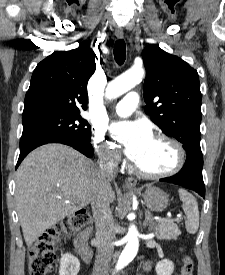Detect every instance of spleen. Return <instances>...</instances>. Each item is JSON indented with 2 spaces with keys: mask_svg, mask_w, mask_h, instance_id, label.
<instances>
[{
  "mask_svg": "<svg viewBox=\"0 0 225 275\" xmlns=\"http://www.w3.org/2000/svg\"><path fill=\"white\" fill-rule=\"evenodd\" d=\"M182 208L186 214L185 227L187 232L195 234L199 228V209L198 203L194 196L184 189L178 190Z\"/></svg>",
  "mask_w": 225,
  "mask_h": 275,
  "instance_id": "spleen-1",
  "label": "spleen"
}]
</instances>
